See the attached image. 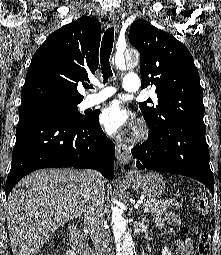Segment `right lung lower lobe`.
<instances>
[{"label":"right lung lower lobe","mask_w":221,"mask_h":255,"mask_svg":"<svg viewBox=\"0 0 221 255\" xmlns=\"http://www.w3.org/2000/svg\"><path fill=\"white\" fill-rule=\"evenodd\" d=\"M115 146L99 126V114L70 122L51 112H22L5 193L32 171L48 167L98 170L110 180L114 173Z\"/></svg>","instance_id":"right-lung-lower-lobe-1"}]
</instances>
